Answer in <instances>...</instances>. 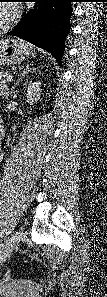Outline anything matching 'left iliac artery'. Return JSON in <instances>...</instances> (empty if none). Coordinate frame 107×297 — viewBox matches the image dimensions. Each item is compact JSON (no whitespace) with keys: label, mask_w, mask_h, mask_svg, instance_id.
I'll use <instances>...</instances> for the list:
<instances>
[{"label":"left iliac artery","mask_w":107,"mask_h":297,"mask_svg":"<svg viewBox=\"0 0 107 297\" xmlns=\"http://www.w3.org/2000/svg\"><path fill=\"white\" fill-rule=\"evenodd\" d=\"M1 247L3 248V247H4V245H3V244H1V245H0V248H1ZM0 252H1V250H0Z\"/></svg>","instance_id":"1"}]
</instances>
